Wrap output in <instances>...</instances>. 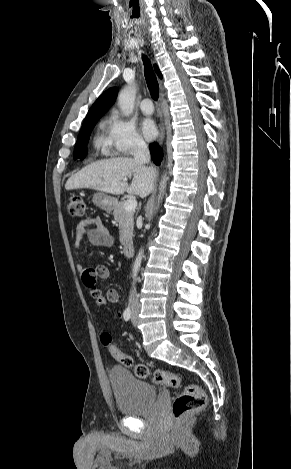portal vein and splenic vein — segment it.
Here are the masks:
<instances>
[{
	"mask_svg": "<svg viewBox=\"0 0 291 469\" xmlns=\"http://www.w3.org/2000/svg\"><path fill=\"white\" fill-rule=\"evenodd\" d=\"M137 207V201L135 199H129L125 202L126 211H134Z\"/></svg>",
	"mask_w": 291,
	"mask_h": 469,
	"instance_id": "portal-vein-and-splenic-vein-1",
	"label": "portal vein and splenic vein"
}]
</instances>
